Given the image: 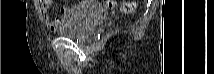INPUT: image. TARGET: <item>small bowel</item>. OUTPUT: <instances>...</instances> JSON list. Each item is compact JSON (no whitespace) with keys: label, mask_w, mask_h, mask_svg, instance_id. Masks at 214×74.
<instances>
[{"label":"small bowel","mask_w":214,"mask_h":74,"mask_svg":"<svg viewBox=\"0 0 214 74\" xmlns=\"http://www.w3.org/2000/svg\"><path fill=\"white\" fill-rule=\"evenodd\" d=\"M50 5H51L50 0L41 1V11H42L43 19L49 30L57 31L60 23L62 22V17L57 16V17L52 18L50 15ZM60 11L62 14H65V13H67L68 8L66 6H62L60 8Z\"/></svg>","instance_id":"c3829d8e"}]
</instances>
